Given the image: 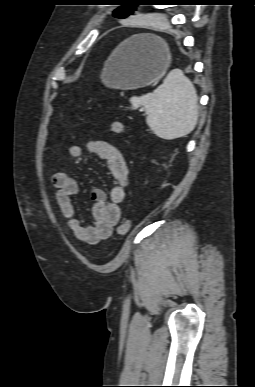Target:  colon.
Returning <instances> with one entry per match:
<instances>
[{"instance_id": "obj_1", "label": "colon", "mask_w": 255, "mask_h": 387, "mask_svg": "<svg viewBox=\"0 0 255 387\" xmlns=\"http://www.w3.org/2000/svg\"><path fill=\"white\" fill-rule=\"evenodd\" d=\"M111 131L117 135H123L126 132L125 125L120 121H112L110 124ZM132 226V222L130 219L123 220L117 227V232L119 235L127 234Z\"/></svg>"}]
</instances>
